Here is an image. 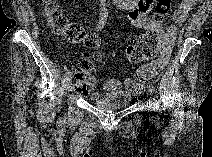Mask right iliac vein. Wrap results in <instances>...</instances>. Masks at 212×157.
I'll list each match as a JSON object with an SVG mask.
<instances>
[{"instance_id": "1", "label": "right iliac vein", "mask_w": 212, "mask_h": 157, "mask_svg": "<svg viewBox=\"0 0 212 157\" xmlns=\"http://www.w3.org/2000/svg\"><path fill=\"white\" fill-rule=\"evenodd\" d=\"M71 79H66V82H65V88L66 90H70L71 89Z\"/></svg>"}]
</instances>
